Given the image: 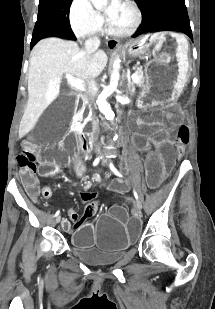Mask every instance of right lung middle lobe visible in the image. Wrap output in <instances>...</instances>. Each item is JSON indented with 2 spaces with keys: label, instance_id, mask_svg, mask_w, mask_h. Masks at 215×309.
<instances>
[{
  "label": "right lung middle lobe",
  "instance_id": "obj_1",
  "mask_svg": "<svg viewBox=\"0 0 215 309\" xmlns=\"http://www.w3.org/2000/svg\"><path fill=\"white\" fill-rule=\"evenodd\" d=\"M71 2L72 0H39L38 18L32 35L31 47L40 39L48 36L76 39L69 22Z\"/></svg>",
  "mask_w": 215,
  "mask_h": 309
}]
</instances>
